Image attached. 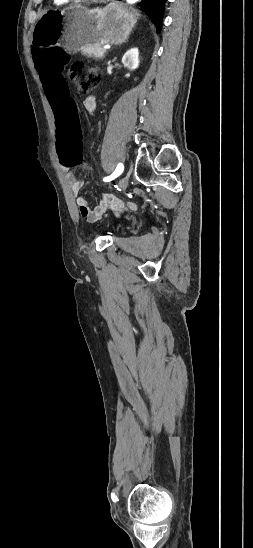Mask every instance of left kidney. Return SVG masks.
<instances>
[{"label":"left kidney","mask_w":253,"mask_h":548,"mask_svg":"<svg viewBox=\"0 0 253 548\" xmlns=\"http://www.w3.org/2000/svg\"><path fill=\"white\" fill-rule=\"evenodd\" d=\"M123 65L129 70H135L139 66L138 48H132L127 51L122 58Z\"/></svg>","instance_id":"left-kidney-1"}]
</instances>
